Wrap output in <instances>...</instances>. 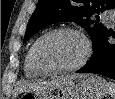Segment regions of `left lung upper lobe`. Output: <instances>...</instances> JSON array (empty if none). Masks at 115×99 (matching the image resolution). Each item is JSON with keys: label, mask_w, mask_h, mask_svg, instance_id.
Wrapping results in <instances>:
<instances>
[{"label": "left lung upper lobe", "mask_w": 115, "mask_h": 99, "mask_svg": "<svg viewBox=\"0 0 115 99\" xmlns=\"http://www.w3.org/2000/svg\"><path fill=\"white\" fill-rule=\"evenodd\" d=\"M109 9H115V0H39L28 22L24 42L43 27L61 21H73L87 30L94 50L107 28L90 18Z\"/></svg>", "instance_id": "1"}]
</instances>
